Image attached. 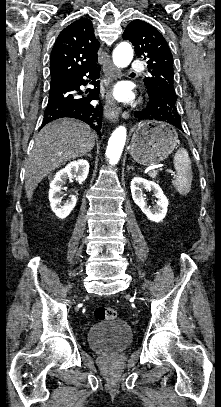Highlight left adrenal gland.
<instances>
[{
	"label": "left adrenal gland",
	"instance_id": "a2214340",
	"mask_svg": "<svg viewBox=\"0 0 221 407\" xmlns=\"http://www.w3.org/2000/svg\"><path fill=\"white\" fill-rule=\"evenodd\" d=\"M130 169L133 170V167L132 166H127V170L129 171Z\"/></svg>",
	"mask_w": 221,
	"mask_h": 407
}]
</instances>
